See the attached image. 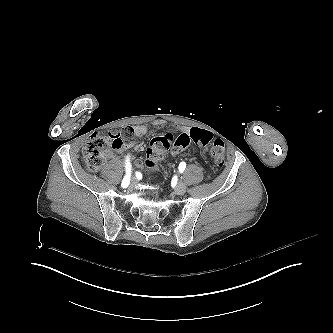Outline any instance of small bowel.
Wrapping results in <instances>:
<instances>
[{
    "instance_id": "c3829d8e",
    "label": "small bowel",
    "mask_w": 333,
    "mask_h": 333,
    "mask_svg": "<svg viewBox=\"0 0 333 333\" xmlns=\"http://www.w3.org/2000/svg\"><path fill=\"white\" fill-rule=\"evenodd\" d=\"M156 125H160V126H168L164 121H157L155 123ZM174 129H177L176 126H171ZM134 131H135V136L136 139H139L140 137H142L143 135H145L148 132V126L147 125H137L134 127ZM190 135H197L195 138L197 140H199L202 137H205L206 139L208 137L212 138V134L205 130V129H200V128H191V129H184L181 131V134L179 135V137H188ZM136 147V142L135 141H131L128 144H126V148L127 149H134ZM174 154H177L178 151H174Z\"/></svg>"
}]
</instances>
